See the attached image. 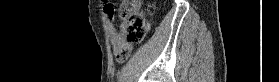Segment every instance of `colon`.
Instances as JSON below:
<instances>
[{"instance_id": "obj_1", "label": "colon", "mask_w": 279, "mask_h": 82, "mask_svg": "<svg viewBox=\"0 0 279 82\" xmlns=\"http://www.w3.org/2000/svg\"><path fill=\"white\" fill-rule=\"evenodd\" d=\"M140 0H123L119 8V17L123 21L122 28L125 34V40L129 48L123 52V57L127 59L131 53V47L139 44L146 32L149 24L145 17L140 13ZM150 14L154 13V7L150 5L147 9Z\"/></svg>"}]
</instances>
